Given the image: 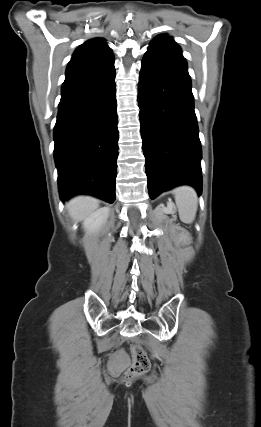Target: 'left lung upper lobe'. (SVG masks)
<instances>
[{
    "mask_svg": "<svg viewBox=\"0 0 261 427\" xmlns=\"http://www.w3.org/2000/svg\"><path fill=\"white\" fill-rule=\"evenodd\" d=\"M149 49L158 50L171 56L184 59L180 47L175 43L172 37L167 35H158L150 43Z\"/></svg>",
    "mask_w": 261,
    "mask_h": 427,
    "instance_id": "1",
    "label": "left lung upper lobe"
}]
</instances>
